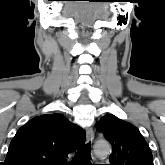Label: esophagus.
<instances>
[{
	"label": "esophagus",
	"instance_id": "34e87169",
	"mask_svg": "<svg viewBox=\"0 0 165 165\" xmlns=\"http://www.w3.org/2000/svg\"><path fill=\"white\" fill-rule=\"evenodd\" d=\"M86 140L87 142H92L94 140V131L91 127L86 129Z\"/></svg>",
	"mask_w": 165,
	"mask_h": 165
}]
</instances>
